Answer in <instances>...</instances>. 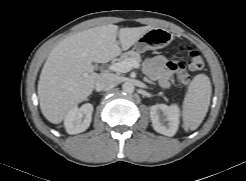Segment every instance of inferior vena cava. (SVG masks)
<instances>
[{"instance_id":"obj_1","label":"inferior vena cava","mask_w":246,"mask_h":181,"mask_svg":"<svg viewBox=\"0 0 246 181\" xmlns=\"http://www.w3.org/2000/svg\"><path fill=\"white\" fill-rule=\"evenodd\" d=\"M116 83V79L112 74L102 73L98 75L95 81V90L97 92L103 91L104 89L114 85Z\"/></svg>"}]
</instances>
